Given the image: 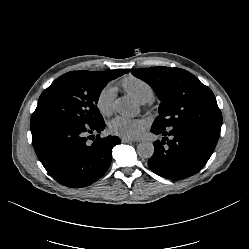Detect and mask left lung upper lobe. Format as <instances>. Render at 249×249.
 <instances>
[{"label": "left lung upper lobe", "instance_id": "left-lung-upper-lobe-1", "mask_svg": "<svg viewBox=\"0 0 249 249\" xmlns=\"http://www.w3.org/2000/svg\"><path fill=\"white\" fill-rule=\"evenodd\" d=\"M148 83L161 101L153 125L163 128L184 123L222 125V115L213 92L193 74L181 68L151 67L131 69Z\"/></svg>", "mask_w": 249, "mask_h": 249}]
</instances>
